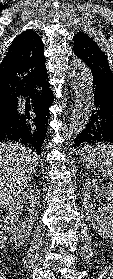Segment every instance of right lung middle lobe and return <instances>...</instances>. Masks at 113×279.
I'll list each match as a JSON object with an SVG mask.
<instances>
[{
	"instance_id": "right-lung-middle-lobe-1",
	"label": "right lung middle lobe",
	"mask_w": 113,
	"mask_h": 279,
	"mask_svg": "<svg viewBox=\"0 0 113 279\" xmlns=\"http://www.w3.org/2000/svg\"><path fill=\"white\" fill-rule=\"evenodd\" d=\"M15 112V106L8 107L5 109H0V123H3L10 119Z\"/></svg>"
}]
</instances>
